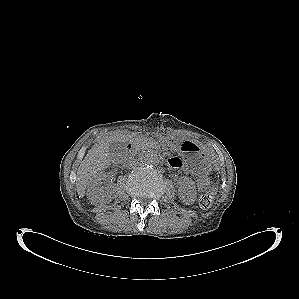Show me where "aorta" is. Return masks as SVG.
I'll return each mask as SVG.
<instances>
[{
    "mask_svg": "<svg viewBox=\"0 0 299 299\" xmlns=\"http://www.w3.org/2000/svg\"><path fill=\"white\" fill-rule=\"evenodd\" d=\"M142 162L145 165H157L159 163V155L154 150H148L142 155Z\"/></svg>",
    "mask_w": 299,
    "mask_h": 299,
    "instance_id": "obj_1",
    "label": "aorta"
}]
</instances>
